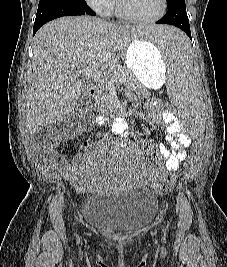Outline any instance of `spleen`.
Returning a JSON list of instances; mask_svg holds the SVG:
<instances>
[{"label":"spleen","instance_id":"3e777b00","mask_svg":"<svg viewBox=\"0 0 227 267\" xmlns=\"http://www.w3.org/2000/svg\"><path fill=\"white\" fill-rule=\"evenodd\" d=\"M132 30H144L136 34V41L152 43L155 55H163L166 63H170L168 76V92L172 101L178 105L176 115H203L200 86L195 79L189 58L190 44L182 29L164 22H144L143 25H132ZM184 137L200 140L205 137V124L202 116H181Z\"/></svg>","mask_w":227,"mask_h":267}]
</instances>
